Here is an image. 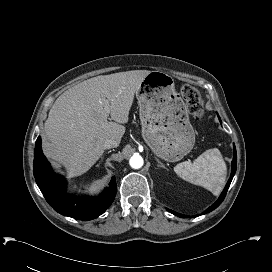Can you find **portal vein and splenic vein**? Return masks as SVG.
Instances as JSON below:
<instances>
[{
    "mask_svg": "<svg viewBox=\"0 0 272 272\" xmlns=\"http://www.w3.org/2000/svg\"><path fill=\"white\" fill-rule=\"evenodd\" d=\"M104 107L107 113H109V100L108 99H103Z\"/></svg>",
    "mask_w": 272,
    "mask_h": 272,
    "instance_id": "18ae733b",
    "label": "portal vein and splenic vein"
}]
</instances>
